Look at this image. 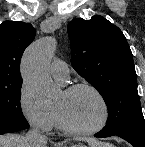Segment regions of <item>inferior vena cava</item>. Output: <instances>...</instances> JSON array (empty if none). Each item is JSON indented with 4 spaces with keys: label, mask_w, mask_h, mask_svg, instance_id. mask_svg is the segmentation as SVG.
Wrapping results in <instances>:
<instances>
[{
    "label": "inferior vena cava",
    "mask_w": 145,
    "mask_h": 147,
    "mask_svg": "<svg viewBox=\"0 0 145 147\" xmlns=\"http://www.w3.org/2000/svg\"><path fill=\"white\" fill-rule=\"evenodd\" d=\"M26 139L30 142V144H33L32 146L35 147H43L47 144V137L42 134L38 128L31 129L28 132Z\"/></svg>",
    "instance_id": "inferior-vena-cava-1"
}]
</instances>
